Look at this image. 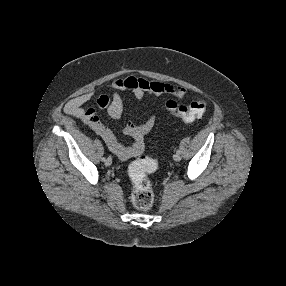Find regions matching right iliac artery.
Segmentation results:
<instances>
[{"label": "right iliac artery", "mask_w": 286, "mask_h": 286, "mask_svg": "<svg viewBox=\"0 0 286 286\" xmlns=\"http://www.w3.org/2000/svg\"><path fill=\"white\" fill-rule=\"evenodd\" d=\"M102 161H103V162H105V161H106V158H105V157H103V158H102Z\"/></svg>", "instance_id": "1"}]
</instances>
